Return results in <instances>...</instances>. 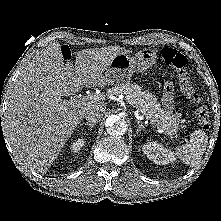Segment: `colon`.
Here are the masks:
<instances>
[{"label": "colon", "mask_w": 221, "mask_h": 221, "mask_svg": "<svg viewBox=\"0 0 221 221\" xmlns=\"http://www.w3.org/2000/svg\"><path fill=\"white\" fill-rule=\"evenodd\" d=\"M62 55L65 59H68L70 53L68 50H62ZM161 60L166 64L176 69L177 80L181 91L192 102L197 105L196 117L199 125L202 129L207 130L210 127V115L206 105L202 103V100L197 96L195 88L191 82L190 73L187 68V58L176 49L171 47H164L160 51ZM165 92L172 91V85L170 83L165 84Z\"/></svg>", "instance_id": "1"}]
</instances>
